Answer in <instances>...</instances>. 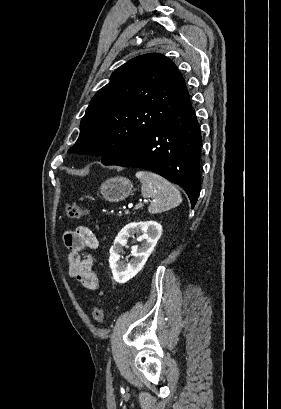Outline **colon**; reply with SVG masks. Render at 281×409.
<instances>
[{
    "label": "colon",
    "mask_w": 281,
    "mask_h": 409,
    "mask_svg": "<svg viewBox=\"0 0 281 409\" xmlns=\"http://www.w3.org/2000/svg\"><path fill=\"white\" fill-rule=\"evenodd\" d=\"M66 213L70 218L82 219L85 216V213L82 207L76 203H70L66 206ZM104 310L103 307L99 304L94 306L93 309V319L97 325H100L103 322Z\"/></svg>",
    "instance_id": "1"
}]
</instances>
